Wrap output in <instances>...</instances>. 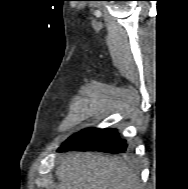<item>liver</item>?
<instances>
[{"label": "liver", "instance_id": "6515ba94", "mask_svg": "<svg viewBox=\"0 0 188 189\" xmlns=\"http://www.w3.org/2000/svg\"><path fill=\"white\" fill-rule=\"evenodd\" d=\"M57 189H141L139 178L116 158L90 152L68 153L59 159Z\"/></svg>", "mask_w": 188, "mask_h": 189}]
</instances>
